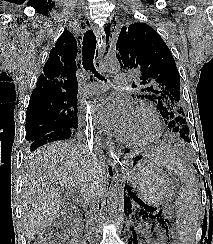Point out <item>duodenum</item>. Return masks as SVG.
Here are the masks:
<instances>
[{
  "mask_svg": "<svg viewBox=\"0 0 213 244\" xmlns=\"http://www.w3.org/2000/svg\"><path fill=\"white\" fill-rule=\"evenodd\" d=\"M93 216H94L93 209H89L88 211H86L85 216H83L81 220L85 224H89ZM72 243L73 244H82V242L80 241V238L75 239L74 241H72Z\"/></svg>",
  "mask_w": 213,
  "mask_h": 244,
  "instance_id": "obj_1",
  "label": "duodenum"
}]
</instances>
